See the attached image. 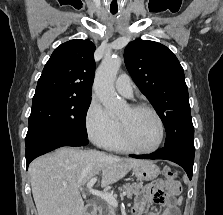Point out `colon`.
I'll return each instance as SVG.
<instances>
[{
    "instance_id": "colon-1",
    "label": "colon",
    "mask_w": 223,
    "mask_h": 215,
    "mask_svg": "<svg viewBox=\"0 0 223 215\" xmlns=\"http://www.w3.org/2000/svg\"><path fill=\"white\" fill-rule=\"evenodd\" d=\"M164 175L168 178V179H174L176 174L171 170V168L169 167H165L164 168Z\"/></svg>"
}]
</instances>
